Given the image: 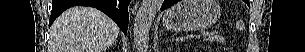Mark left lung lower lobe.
<instances>
[{
  "label": "left lung lower lobe",
  "instance_id": "1",
  "mask_svg": "<svg viewBox=\"0 0 305 52\" xmlns=\"http://www.w3.org/2000/svg\"><path fill=\"white\" fill-rule=\"evenodd\" d=\"M178 0H164L162 6H161V11L171 7L173 4L177 3Z\"/></svg>",
  "mask_w": 305,
  "mask_h": 52
}]
</instances>
